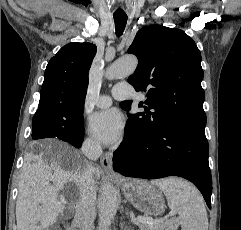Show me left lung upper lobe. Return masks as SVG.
Masks as SVG:
<instances>
[{
	"mask_svg": "<svg viewBox=\"0 0 241 230\" xmlns=\"http://www.w3.org/2000/svg\"><path fill=\"white\" fill-rule=\"evenodd\" d=\"M128 53L138 58L137 69L128 82L148 98L139 104L145 112L129 119H136L148 133L158 132L170 123L205 128L201 54L184 31L162 25L142 28ZM121 107L129 111L130 102L121 103Z\"/></svg>",
	"mask_w": 241,
	"mask_h": 230,
	"instance_id": "5c2ea615",
	"label": "left lung upper lobe"
}]
</instances>
